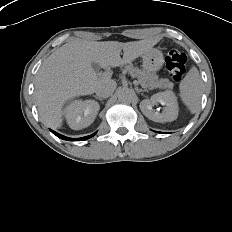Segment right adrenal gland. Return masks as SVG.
Wrapping results in <instances>:
<instances>
[{
	"mask_svg": "<svg viewBox=\"0 0 232 232\" xmlns=\"http://www.w3.org/2000/svg\"><path fill=\"white\" fill-rule=\"evenodd\" d=\"M94 97H95V99H97V100H99V101H101V102H103V100H104V99H102V98H100V97H98V96H95V95H94Z\"/></svg>",
	"mask_w": 232,
	"mask_h": 232,
	"instance_id": "2a0ac1e0",
	"label": "right adrenal gland"
}]
</instances>
